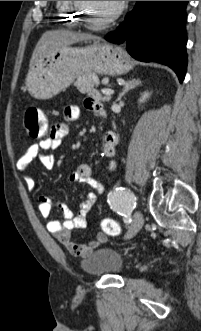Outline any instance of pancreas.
I'll use <instances>...</instances> for the list:
<instances>
[{"label": "pancreas", "instance_id": "cf45deb5", "mask_svg": "<svg viewBox=\"0 0 201 331\" xmlns=\"http://www.w3.org/2000/svg\"><path fill=\"white\" fill-rule=\"evenodd\" d=\"M95 74L93 73H89L86 74L84 76L78 77L77 80L74 82V86L77 87V89L81 92V93H86L88 94V96H91L93 98H96L97 100L106 102V101H110V97L109 96H102L95 88Z\"/></svg>", "mask_w": 201, "mask_h": 331}]
</instances>
